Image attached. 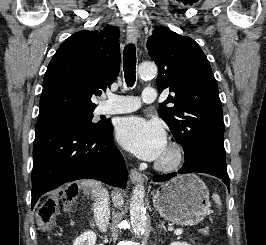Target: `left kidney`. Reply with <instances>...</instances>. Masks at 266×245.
I'll use <instances>...</instances> for the list:
<instances>
[{
	"label": "left kidney",
	"instance_id": "5707ae66",
	"mask_svg": "<svg viewBox=\"0 0 266 245\" xmlns=\"http://www.w3.org/2000/svg\"><path fill=\"white\" fill-rule=\"evenodd\" d=\"M171 245H188V243H178V241H174Z\"/></svg>",
	"mask_w": 266,
	"mask_h": 245
}]
</instances>
